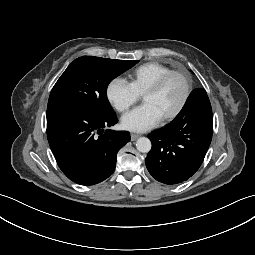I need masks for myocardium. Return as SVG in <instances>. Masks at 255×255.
I'll return each mask as SVG.
<instances>
[{"instance_id":"myocardium-1","label":"myocardium","mask_w":255,"mask_h":255,"mask_svg":"<svg viewBox=\"0 0 255 255\" xmlns=\"http://www.w3.org/2000/svg\"><path fill=\"white\" fill-rule=\"evenodd\" d=\"M173 75H178L183 79L184 85H185V91H184L182 100L179 103V105L177 106V108L175 110H173L171 113H169L163 117V120H165V121H169V120H172L175 117H177L181 113L183 108L185 107V105L190 97V94H191V81H190L189 76L184 71L171 70V71L163 74L161 77H159L143 94L145 96L150 93L158 92L163 87V85L166 83V81Z\"/></svg>"}]
</instances>
